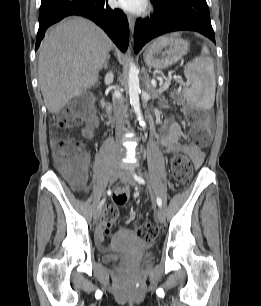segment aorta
I'll use <instances>...</instances> for the list:
<instances>
[{
	"instance_id": "aorta-1",
	"label": "aorta",
	"mask_w": 261,
	"mask_h": 306,
	"mask_svg": "<svg viewBox=\"0 0 261 306\" xmlns=\"http://www.w3.org/2000/svg\"><path fill=\"white\" fill-rule=\"evenodd\" d=\"M138 69L133 62H130L129 74H128V86H129V97L130 103L135 111L137 119L140 125L144 126L145 122L143 120V115L141 113L140 102H139V77H138Z\"/></svg>"
}]
</instances>
